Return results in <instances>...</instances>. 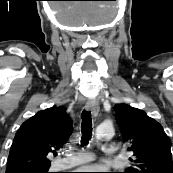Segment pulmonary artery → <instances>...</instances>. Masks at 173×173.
<instances>
[{
	"instance_id": "obj_1",
	"label": "pulmonary artery",
	"mask_w": 173,
	"mask_h": 173,
	"mask_svg": "<svg viewBox=\"0 0 173 173\" xmlns=\"http://www.w3.org/2000/svg\"><path fill=\"white\" fill-rule=\"evenodd\" d=\"M103 152L107 155L115 156L116 155V148L113 146H103ZM94 159V156L88 151H80L72 155L67 159H62L59 161L58 166L61 169H67L70 167L82 165L88 163Z\"/></svg>"
}]
</instances>
